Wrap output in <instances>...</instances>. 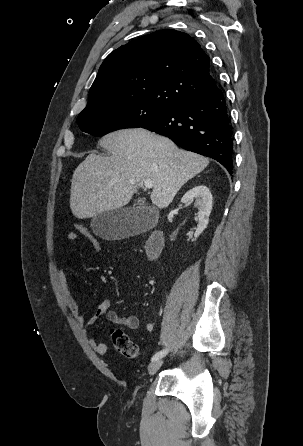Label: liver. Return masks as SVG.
I'll use <instances>...</instances> for the list:
<instances>
[{"label":"liver","mask_w":303,"mask_h":446,"mask_svg":"<svg viewBox=\"0 0 303 446\" xmlns=\"http://www.w3.org/2000/svg\"><path fill=\"white\" fill-rule=\"evenodd\" d=\"M99 143L111 156L89 154L72 176L70 207L79 219L122 208L145 180L153 182L152 203L166 208L209 164L207 158L142 128L112 132Z\"/></svg>","instance_id":"1"}]
</instances>
